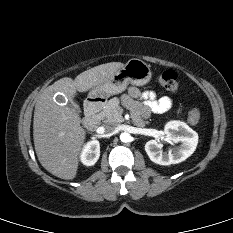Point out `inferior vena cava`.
Wrapping results in <instances>:
<instances>
[{"mask_svg":"<svg viewBox=\"0 0 233 233\" xmlns=\"http://www.w3.org/2000/svg\"><path fill=\"white\" fill-rule=\"evenodd\" d=\"M103 129L106 133H113L116 131V125L113 124V123H106L104 126H103Z\"/></svg>","mask_w":233,"mask_h":233,"instance_id":"1","label":"inferior vena cava"}]
</instances>
